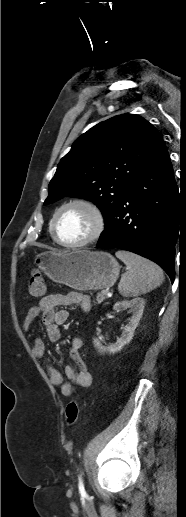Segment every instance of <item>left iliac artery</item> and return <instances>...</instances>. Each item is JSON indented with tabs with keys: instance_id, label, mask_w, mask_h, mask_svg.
I'll return each mask as SVG.
<instances>
[{
	"instance_id": "44dca946",
	"label": "left iliac artery",
	"mask_w": 186,
	"mask_h": 517,
	"mask_svg": "<svg viewBox=\"0 0 186 517\" xmlns=\"http://www.w3.org/2000/svg\"><path fill=\"white\" fill-rule=\"evenodd\" d=\"M78 488H79V491L82 495H85L86 494V491H85V488H84V484H83V480H82V477L80 475L79 477V483H78Z\"/></svg>"
}]
</instances>
